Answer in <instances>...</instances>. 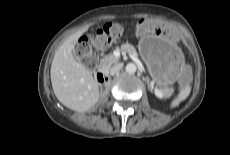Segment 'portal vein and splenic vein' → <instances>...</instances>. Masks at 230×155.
I'll list each match as a JSON object with an SVG mask.
<instances>
[{
    "label": "portal vein and splenic vein",
    "mask_w": 230,
    "mask_h": 155,
    "mask_svg": "<svg viewBox=\"0 0 230 155\" xmlns=\"http://www.w3.org/2000/svg\"><path fill=\"white\" fill-rule=\"evenodd\" d=\"M133 60L139 62V60H138L135 56H133ZM158 94H159L160 96H162L160 92H158Z\"/></svg>",
    "instance_id": "obj_1"
}]
</instances>
